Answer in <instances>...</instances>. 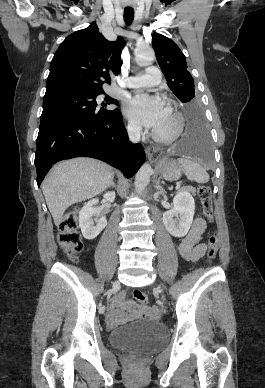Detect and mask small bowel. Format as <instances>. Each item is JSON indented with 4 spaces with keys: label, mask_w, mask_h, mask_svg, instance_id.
<instances>
[{
    "label": "small bowel",
    "mask_w": 265,
    "mask_h": 388,
    "mask_svg": "<svg viewBox=\"0 0 265 388\" xmlns=\"http://www.w3.org/2000/svg\"><path fill=\"white\" fill-rule=\"evenodd\" d=\"M206 230V222L202 218H196L189 233L182 239L179 245V253L182 258L188 261H196L206 252V245L202 238ZM124 303V296L117 298L108 315L110 325H115L120 320L119 308Z\"/></svg>",
    "instance_id": "obj_1"
}]
</instances>
